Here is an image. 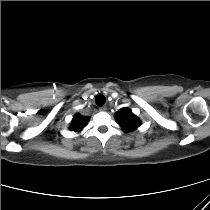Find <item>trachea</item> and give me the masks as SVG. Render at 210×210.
<instances>
[{"mask_svg": "<svg viewBox=\"0 0 210 210\" xmlns=\"http://www.w3.org/2000/svg\"><path fill=\"white\" fill-rule=\"evenodd\" d=\"M106 98L103 94H98L95 98V102L98 106H103L105 104Z\"/></svg>", "mask_w": 210, "mask_h": 210, "instance_id": "1", "label": "trachea"}]
</instances>
